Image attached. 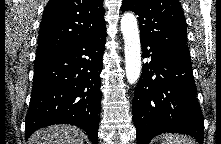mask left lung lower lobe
<instances>
[{
	"label": "left lung lower lobe",
	"instance_id": "obj_1",
	"mask_svg": "<svg viewBox=\"0 0 221 144\" xmlns=\"http://www.w3.org/2000/svg\"><path fill=\"white\" fill-rule=\"evenodd\" d=\"M143 64L133 103L138 144L161 133H181L203 143L204 122L194 82L190 54L141 39Z\"/></svg>",
	"mask_w": 221,
	"mask_h": 144
}]
</instances>
